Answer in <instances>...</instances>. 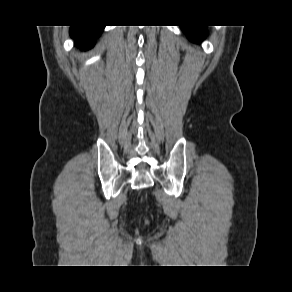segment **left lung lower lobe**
<instances>
[{"label": "left lung lower lobe", "instance_id": "obj_1", "mask_svg": "<svg viewBox=\"0 0 292 292\" xmlns=\"http://www.w3.org/2000/svg\"><path fill=\"white\" fill-rule=\"evenodd\" d=\"M184 33L194 42L203 40L207 35L206 26H181Z\"/></svg>", "mask_w": 292, "mask_h": 292}]
</instances>
